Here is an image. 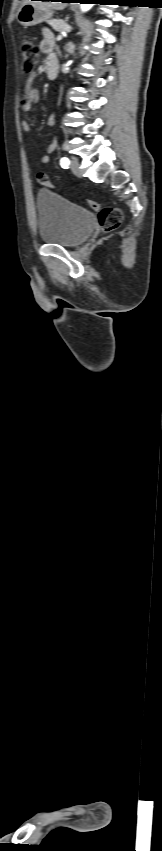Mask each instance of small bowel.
<instances>
[{"label": "small bowel", "mask_w": 162, "mask_h": 851, "mask_svg": "<svg viewBox=\"0 0 162 851\" xmlns=\"http://www.w3.org/2000/svg\"><path fill=\"white\" fill-rule=\"evenodd\" d=\"M53 47H54V39H53V35H52V33H51L49 30L45 29V30L43 31V39H42V41H41V43H40V49H41V51H42V52H44V53H50V55L47 57V59H49V58H55V59H57L56 55L52 53V51H53ZM47 59H46V60H47ZM34 78H35V73H32V74L29 76V78H28V81H27V87H26V92H25V94H24V96H23V98H22V100H21V108H22V110H23V111H25V112H29V111L32 109L33 105H34L35 103H37V102H38V100H39V93H38V91H37L35 88H33V87H32V83H33ZM54 122H55V115L51 116V117L47 120V124H48V125H53V124H54ZM21 126H22V129H23L26 133H30V131H31V125H30V122H29V120H28V119H24V120L21 122ZM56 145H57V142H56V139L54 138V139L52 140V142H51V143L48 145V147H47V150H46V151H47V153H46V154H44V155L41 157V162H42L43 164H47V163H49V161H50L49 154H50V153H52V152L55 150Z\"/></svg>", "instance_id": "small-bowel-1"}]
</instances>
